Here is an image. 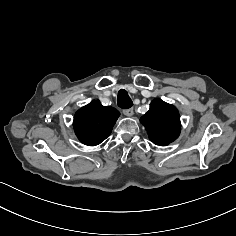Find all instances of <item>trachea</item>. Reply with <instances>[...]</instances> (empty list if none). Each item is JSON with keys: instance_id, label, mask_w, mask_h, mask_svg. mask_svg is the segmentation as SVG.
Here are the masks:
<instances>
[{"instance_id": "1", "label": "trachea", "mask_w": 236, "mask_h": 236, "mask_svg": "<svg viewBox=\"0 0 236 236\" xmlns=\"http://www.w3.org/2000/svg\"><path fill=\"white\" fill-rule=\"evenodd\" d=\"M117 104L120 108L122 109H129L130 107L133 106V102L130 99L128 93L126 90L121 89L118 92V96H117Z\"/></svg>"}]
</instances>
